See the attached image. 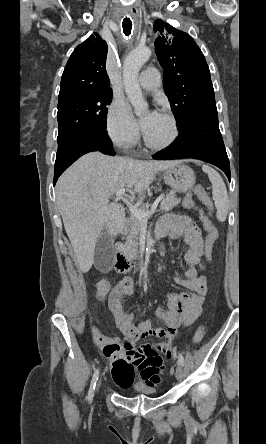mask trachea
<instances>
[{"label": "trachea", "mask_w": 266, "mask_h": 444, "mask_svg": "<svg viewBox=\"0 0 266 444\" xmlns=\"http://www.w3.org/2000/svg\"><path fill=\"white\" fill-rule=\"evenodd\" d=\"M122 28H123V32H124L125 36H129L131 34L132 21L130 20V18H128V17L124 18V20L122 22Z\"/></svg>", "instance_id": "1"}]
</instances>
